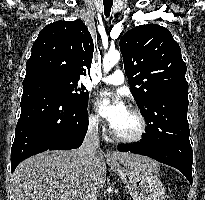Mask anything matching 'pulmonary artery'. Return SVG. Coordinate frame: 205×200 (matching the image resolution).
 <instances>
[{
	"label": "pulmonary artery",
	"instance_id": "e3ab8cb5",
	"mask_svg": "<svg viewBox=\"0 0 205 200\" xmlns=\"http://www.w3.org/2000/svg\"><path fill=\"white\" fill-rule=\"evenodd\" d=\"M99 80L111 85H121L124 83L125 77L121 70H115L111 75L100 77Z\"/></svg>",
	"mask_w": 205,
	"mask_h": 200
}]
</instances>
